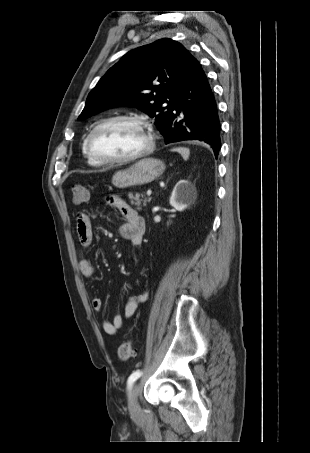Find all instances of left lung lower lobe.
Listing matches in <instances>:
<instances>
[{"label":"left lung lower lobe","mask_w":310,"mask_h":453,"mask_svg":"<svg viewBox=\"0 0 310 453\" xmlns=\"http://www.w3.org/2000/svg\"><path fill=\"white\" fill-rule=\"evenodd\" d=\"M181 110L183 117L178 119ZM221 125L214 94L206 74L192 56L187 76L172 106V113L161 133L165 143L184 140L204 142L217 158L221 148Z\"/></svg>","instance_id":"0a47b994"}]
</instances>
